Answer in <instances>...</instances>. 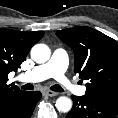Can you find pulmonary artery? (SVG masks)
Wrapping results in <instances>:
<instances>
[{"label":"pulmonary artery","instance_id":"obj_1","mask_svg":"<svg viewBox=\"0 0 118 118\" xmlns=\"http://www.w3.org/2000/svg\"><path fill=\"white\" fill-rule=\"evenodd\" d=\"M69 64L67 53L62 49L53 52L50 60L44 64L34 67L32 70L22 73L18 79L23 82H40L48 78H54L64 88L74 91L77 95H84L86 87L75 86L65 76Z\"/></svg>","mask_w":118,"mask_h":118}]
</instances>
